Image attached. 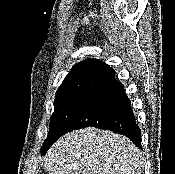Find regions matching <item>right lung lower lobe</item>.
<instances>
[{
	"instance_id": "obj_1",
	"label": "right lung lower lobe",
	"mask_w": 175,
	"mask_h": 174,
	"mask_svg": "<svg viewBox=\"0 0 175 174\" xmlns=\"http://www.w3.org/2000/svg\"><path fill=\"white\" fill-rule=\"evenodd\" d=\"M90 126L125 135L137 147L142 148L141 130L136 124L131 102L123 84L116 80L115 75L89 93L65 133ZM50 147L51 145L42 148L41 152L45 154Z\"/></svg>"
}]
</instances>
